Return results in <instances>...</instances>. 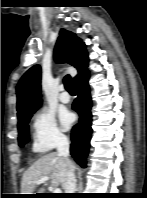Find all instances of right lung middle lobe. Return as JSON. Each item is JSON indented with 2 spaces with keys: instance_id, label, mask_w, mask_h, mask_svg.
<instances>
[{
  "instance_id": "dd1d6c3e",
  "label": "right lung middle lobe",
  "mask_w": 147,
  "mask_h": 198,
  "mask_svg": "<svg viewBox=\"0 0 147 198\" xmlns=\"http://www.w3.org/2000/svg\"><path fill=\"white\" fill-rule=\"evenodd\" d=\"M32 115L27 116L20 122H18V143L20 147H23L29 141L28 123Z\"/></svg>"
}]
</instances>
